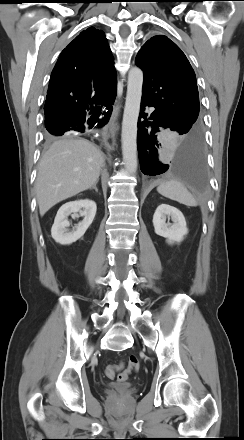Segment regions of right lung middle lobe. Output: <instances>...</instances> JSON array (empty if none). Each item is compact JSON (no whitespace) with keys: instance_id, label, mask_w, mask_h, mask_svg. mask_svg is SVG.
<instances>
[{"instance_id":"dd1d6c3e","label":"right lung middle lobe","mask_w":244,"mask_h":440,"mask_svg":"<svg viewBox=\"0 0 244 440\" xmlns=\"http://www.w3.org/2000/svg\"><path fill=\"white\" fill-rule=\"evenodd\" d=\"M48 131V130H47ZM49 133H47V136L50 137L52 134V132L48 131Z\"/></svg>"}]
</instances>
